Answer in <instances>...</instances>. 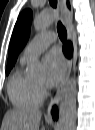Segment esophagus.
Segmentation results:
<instances>
[{"instance_id":"obj_1","label":"esophagus","mask_w":95,"mask_h":130,"mask_svg":"<svg viewBox=\"0 0 95 130\" xmlns=\"http://www.w3.org/2000/svg\"><path fill=\"white\" fill-rule=\"evenodd\" d=\"M58 2H59V8H60V12H61V20H62L63 24L65 25L67 32H68V36L70 38L71 37L70 36L71 14L68 10V7H67L65 0H59ZM71 68H72V61H71V59H68L66 61V66H65L64 74H63L62 79H61V83L57 88L56 95L51 100V103H50V105L47 109V112L45 114L46 120H50L52 118V116H51L52 106L58 105L60 102L63 88H64L66 82L68 81L70 73H71Z\"/></svg>"}]
</instances>
